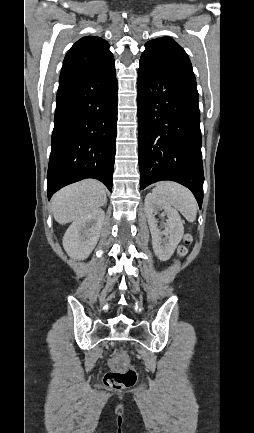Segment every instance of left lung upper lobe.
<instances>
[{
	"label": "left lung upper lobe",
	"instance_id": "left-lung-upper-lobe-1",
	"mask_svg": "<svg viewBox=\"0 0 254 433\" xmlns=\"http://www.w3.org/2000/svg\"><path fill=\"white\" fill-rule=\"evenodd\" d=\"M141 59L170 71L195 79L190 59L184 49L169 37L153 39L145 44Z\"/></svg>",
	"mask_w": 254,
	"mask_h": 433
}]
</instances>
